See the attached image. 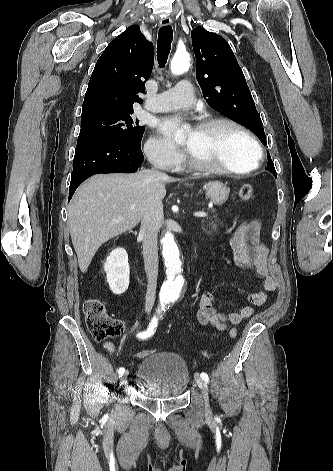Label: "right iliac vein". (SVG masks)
I'll list each match as a JSON object with an SVG mask.
<instances>
[{"label":"right iliac vein","instance_id":"obj_1","mask_svg":"<svg viewBox=\"0 0 333 471\" xmlns=\"http://www.w3.org/2000/svg\"><path fill=\"white\" fill-rule=\"evenodd\" d=\"M128 374H129V372L126 371V372H124V373L120 376V381H121V383L124 382V381H126V379H127V377H128Z\"/></svg>","mask_w":333,"mask_h":471}]
</instances>
